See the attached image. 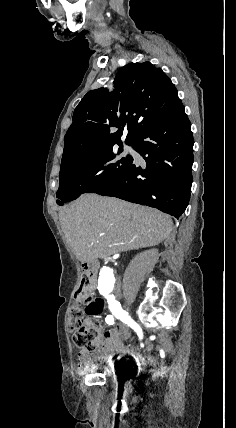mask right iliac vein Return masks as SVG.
Wrapping results in <instances>:
<instances>
[{"label": "right iliac vein", "mask_w": 236, "mask_h": 428, "mask_svg": "<svg viewBox=\"0 0 236 428\" xmlns=\"http://www.w3.org/2000/svg\"><path fill=\"white\" fill-rule=\"evenodd\" d=\"M132 332L128 331L127 334H123V336H121V341H126V339H128V336H131Z\"/></svg>", "instance_id": "right-iliac-vein-1"}]
</instances>
